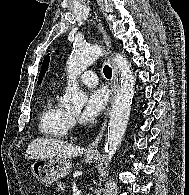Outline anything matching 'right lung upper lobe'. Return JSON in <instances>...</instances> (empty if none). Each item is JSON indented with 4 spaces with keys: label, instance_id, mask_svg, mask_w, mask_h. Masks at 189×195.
I'll use <instances>...</instances> for the list:
<instances>
[{
    "label": "right lung upper lobe",
    "instance_id": "cb5924a9",
    "mask_svg": "<svg viewBox=\"0 0 189 195\" xmlns=\"http://www.w3.org/2000/svg\"><path fill=\"white\" fill-rule=\"evenodd\" d=\"M48 64H49V56H46L43 63H42V69H41L40 76H39V79H38V84H41L43 76H44L45 72L48 69Z\"/></svg>",
    "mask_w": 189,
    "mask_h": 195
}]
</instances>
